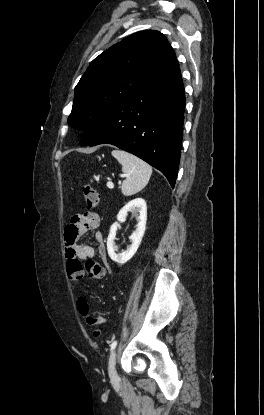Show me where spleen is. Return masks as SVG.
<instances>
[{"mask_svg":"<svg viewBox=\"0 0 264 415\" xmlns=\"http://www.w3.org/2000/svg\"><path fill=\"white\" fill-rule=\"evenodd\" d=\"M111 154L119 161L122 171L127 175L121 186L123 195L131 196L141 191L149 182L151 166L126 151L113 150Z\"/></svg>","mask_w":264,"mask_h":415,"instance_id":"3e777b00","label":"spleen"}]
</instances>
